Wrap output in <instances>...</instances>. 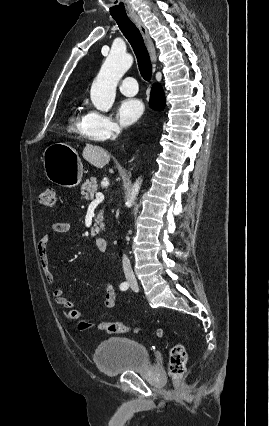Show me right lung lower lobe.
I'll return each instance as SVG.
<instances>
[{
	"instance_id": "1",
	"label": "right lung lower lobe",
	"mask_w": 269,
	"mask_h": 426,
	"mask_svg": "<svg viewBox=\"0 0 269 426\" xmlns=\"http://www.w3.org/2000/svg\"><path fill=\"white\" fill-rule=\"evenodd\" d=\"M149 105L155 110H163L165 106V95L159 84H154L152 87Z\"/></svg>"
}]
</instances>
